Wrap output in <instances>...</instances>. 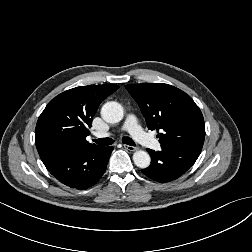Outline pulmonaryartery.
Returning <instances> with one entry per match:
<instances>
[{"label":"pulmonary artery","mask_w":252,"mask_h":252,"mask_svg":"<svg viewBox=\"0 0 252 252\" xmlns=\"http://www.w3.org/2000/svg\"><path fill=\"white\" fill-rule=\"evenodd\" d=\"M122 129L127 130L132 135V137L141 145L150 149H154V150H157L160 148L159 141L155 139L154 137H152L151 135L144 132V130L139 125V122L136 116L129 115ZM96 136L104 137V136H107V134L96 133Z\"/></svg>","instance_id":"e3ab8cb5"}]
</instances>
